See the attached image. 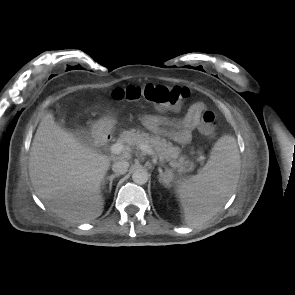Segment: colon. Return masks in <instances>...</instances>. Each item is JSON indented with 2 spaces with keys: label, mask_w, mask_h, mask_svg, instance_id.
Returning a JSON list of instances; mask_svg holds the SVG:
<instances>
[{
  "label": "colon",
  "mask_w": 295,
  "mask_h": 295,
  "mask_svg": "<svg viewBox=\"0 0 295 295\" xmlns=\"http://www.w3.org/2000/svg\"><path fill=\"white\" fill-rule=\"evenodd\" d=\"M190 93L180 86H165L157 84L131 85L114 89L112 98L116 101H147L159 108L178 109ZM199 131L205 136L215 133V115L212 111H205L199 126Z\"/></svg>",
  "instance_id": "1"
}]
</instances>
